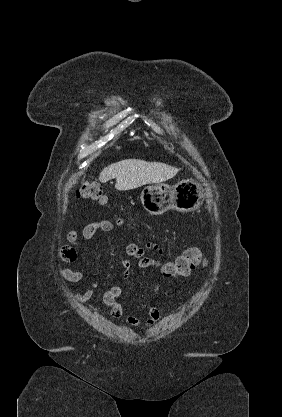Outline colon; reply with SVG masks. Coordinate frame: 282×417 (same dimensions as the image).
Instances as JSON below:
<instances>
[{
  "label": "colon",
  "mask_w": 282,
  "mask_h": 417,
  "mask_svg": "<svg viewBox=\"0 0 282 417\" xmlns=\"http://www.w3.org/2000/svg\"><path fill=\"white\" fill-rule=\"evenodd\" d=\"M77 195L83 199H92L100 204H107V196L103 186L98 182H84L77 190ZM62 258L67 261H73L76 257L73 248L64 247L61 253ZM203 255L199 249L190 248L182 255L176 258L158 263L161 271L167 277H184L187 276L200 262Z\"/></svg>",
  "instance_id": "obj_1"
}]
</instances>
